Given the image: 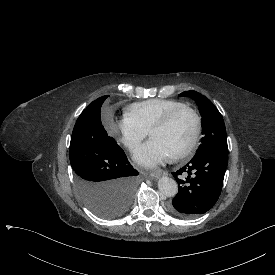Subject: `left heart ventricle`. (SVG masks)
Returning a JSON list of instances; mask_svg holds the SVG:
<instances>
[{"instance_id":"obj_1","label":"left heart ventricle","mask_w":275,"mask_h":275,"mask_svg":"<svg viewBox=\"0 0 275 275\" xmlns=\"http://www.w3.org/2000/svg\"><path fill=\"white\" fill-rule=\"evenodd\" d=\"M193 133V119L188 112L179 114L165 129L152 132L151 138L158 140L172 154H176L189 142Z\"/></svg>"}]
</instances>
